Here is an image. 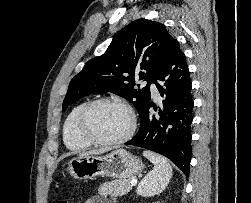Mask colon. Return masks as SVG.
<instances>
[{
	"instance_id": "colon-1",
	"label": "colon",
	"mask_w": 251,
	"mask_h": 203,
	"mask_svg": "<svg viewBox=\"0 0 251 203\" xmlns=\"http://www.w3.org/2000/svg\"><path fill=\"white\" fill-rule=\"evenodd\" d=\"M55 203H70V202L67 198L62 197V198L57 199Z\"/></svg>"
}]
</instances>
